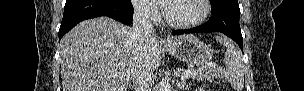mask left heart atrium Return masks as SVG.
<instances>
[{"label": "left heart atrium", "instance_id": "obj_1", "mask_svg": "<svg viewBox=\"0 0 304 91\" xmlns=\"http://www.w3.org/2000/svg\"><path fill=\"white\" fill-rule=\"evenodd\" d=\"M153 2H156V3H162L163 1H153Z\"/></svg>", "mask_w": 304, "mask_h": 91}]
</instances>
